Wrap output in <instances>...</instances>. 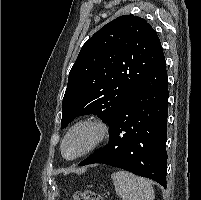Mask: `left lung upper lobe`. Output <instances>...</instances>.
Segmentation results:
<instances>
[{
  "instance_id": "left-lung-upper-lobe-1",
  "label": "left lung upper lobe",
  "mask_w": 201,
  "mask_h": 200,
  "mask_svg": "<svg viewBox=\"0 0 201 200\" xmlns=\"http://www.w3.org/2000/svg\"><path fill=\"white\" fill-rule=\"evenodd\" d=\"M163 55L156 31L143 18L123 15L106 24L82 46L69 73L61 128L86 114L109 124Z\"/></svg>"
}]
</instances>
